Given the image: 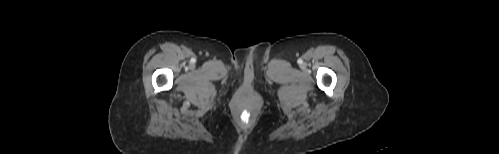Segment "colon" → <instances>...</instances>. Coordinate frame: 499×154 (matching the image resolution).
Instances as JSON below:
<instances>
[{
	"label": "colon",
	"mask_w": 499,
	"mask_h": 154,
	"mask_svg": "<svg viewBox=\"0 0 499 154\" xmlns=\"http://www.w3.org/2000/svg\"><path fill=\"white\" fill-rule=\"evenodd\" d=\"M241 119L247 122L250 119V113L247 110H242Z\"/></svg>",
	"instance_id": "1"
}]
</instances>
